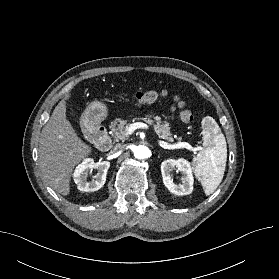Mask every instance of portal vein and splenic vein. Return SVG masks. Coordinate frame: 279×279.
Returning <instances> with one entry per match:
<instances>
[{
  "label": "portal vein and splenic vein",
  "mask_w": 279,
  "mask_h": 279,
  "mask_svg": "<svg viewBox=\"0 0 279 279\" xmlns=\"http://www.w3.org/2000/svg\"><path fill=\"white\" fill-rule=\"evenodd\" d=\"M137 129H149V126L146 123H143V122H136V123L129 124L126 127V131H127L128 135L132 134ZM158 143L164 149L186 148L187 150H190V151H193V152L199 150V147H197V148L193 147L192 145H190L187 142H178L176 144H168L165 141L158 140Z\"/></svg>",
  "instance_id": "18ae733b"
}]
</instances>
